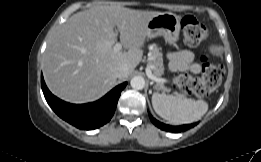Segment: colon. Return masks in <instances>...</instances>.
Listing matches in <instances>:
<instances>
[{
  "label": "colon",
  "mask_w": 261,
  "mask_h": 162,
  "mask_svg": "<svg viewBox=\"0 0 261 162\" xmlns=\"http://www.w3.org/2000/svg\"><path fill=\"white\" fill-rule=\"evenodd\" d=\"M181 28L184 41L190 47H197L208 37L206 26L193 16L183 17ZM223 75V66L211 64L208 58L203 56L200 76L180 74L174 78L173 85L181 92L204 98L209 96L221 84Z\"/></svg>",
  "instance_id": "5ec220e1"
}]
</instances>
